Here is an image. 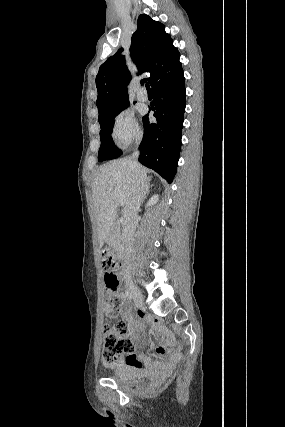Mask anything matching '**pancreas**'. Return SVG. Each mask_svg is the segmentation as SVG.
Wrapping results in <instances>:
<instances>
[{
  "mask_svg": "<svg viewBox=\"0 0 285 427\" xmlns=\"http://www.w3.org/2000/svg\"><path fill=\"white\" fill-rule=\"evenodd\" d=\"M107 242L110 246H118L120 242V230L118 227H115L110 231Z\"/></svg>",
  "mask_w": 285,
  "mask_h": 427,
  "instance_id": "pancreas-1",
  "label": "pancreas"
}]
</instances>
